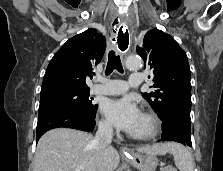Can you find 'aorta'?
<instances>
[{"instance_id":"aorta-1","label":"aorta","mask_w":223,"mask_h":171,"mask_svg":"<svg viewBox=\"0 0 223 171\" xmlns=\"http://www.w3.org/2000/svg\"><path fill=\"white\" fill-rule=\"evenodd\" d=\"M142 61L141 58L138 56H129L126 59V67L129 70H137L141 67Z\"/></svg>"}]
</instances>
